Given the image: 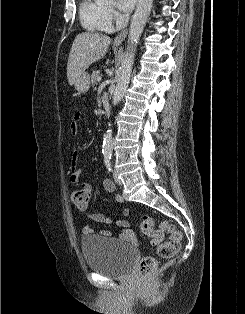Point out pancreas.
Masks as SVG:
<instances>
[{
	"label": "pancreas",
	"instance_id": "obj_1",
	"mask_svg": "<svg viewBox=\"0 0 245 314\" xmlns=\"http://www.w3.org/2000/svg\"><path fill=\"white\" fill-rule=\"evenodd\" d=\"M99 76V72L97 70H94L91 74V85L94 86L97 81V77Z\"/></svg>",
	"mask_w": 245,
	"mask_h": 314
}]
</instances>
